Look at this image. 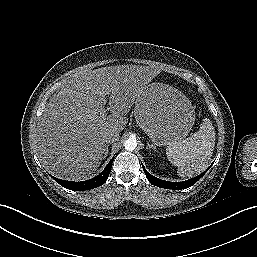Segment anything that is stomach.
Here are the masks:
<instances>
[{
	"instance_id": "1",
	"label": "stomach",
	"mask_w": 257,
	"mask_h": 257,
	"mask_svg": "<svg viewBox=\"0 0 257 257\" xmlns=\"http://www.w3.org/2000/svg\"><path fill=\"white\" fill-rule=\"evenodd\" d=\"M134 115L138 126L159 147L181 141L195 122L189 99L177 89L159 83L146 87L135 102Z\"/></svg>"
}]
</instances>
